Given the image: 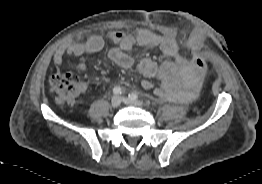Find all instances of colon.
<instances>
[{"mask_svg":"<svg viewBox=\"0 0 262 184\" xmlns=\"http://www.w3.org/2000/svg\"><path fill=\"white\" fill-rule=\"evenodd\" d=\"M190 62L194 68L207 73L209 67L203 57L192 53ZM49 84L51 90L57 94L59 100L65 103H72L81 91L78 78L69 72L52 75L49 79Z\"/></svg>","mask_w":262,"mask_h":184,"instance_id":"1","label":"colon"}]
</instances>
